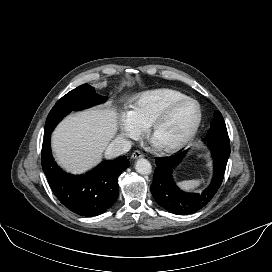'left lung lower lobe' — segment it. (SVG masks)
<instances>
[{
    "instance_id": "1",
    "label": "left lung lower lobe",
    "mask_w": 272,
    "mask_h": 272,
    "mask_svg": "<svg viewBox=\"0 0 272 272\" xmlns=\"http://www.w3.org/2000/svg\"><path fill=\"white\" fill-rule=\"evenodd\" d=\"M207 144L213 157L214 173L210 185L203 192H184L173 180V169L184 157L185 152L155 158L157 167L150 189L157 203L167 211L177 215L195 213L207 205L219 189L230 155V146L214 141H207Z\"/></svg>"
}]
</instances>
